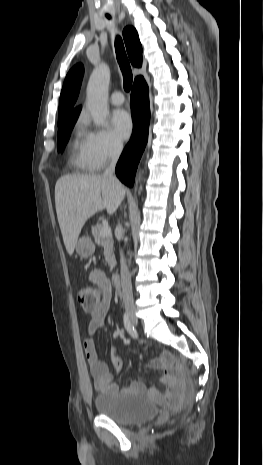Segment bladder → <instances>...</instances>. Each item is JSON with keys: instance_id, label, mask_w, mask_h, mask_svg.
I'll list each match as a JSON object with an SVG mask.
<instances>
[{"instance_id": "obj_1", "label": "bladder", "mask_w": 263, "mask_h": 465, "mask_svg": "<svg viewBox=\"0 0 263 465\" xmlns=\"http://www.w3.org/2000/svg\"><path fill=\"white\" fill-rule=\"evenodd\" d=\"M94 404L99 414L120 425L144 423L157 415L156 405L134 392L106 391L96 396Z\"/></svg>"}]
</instances>
